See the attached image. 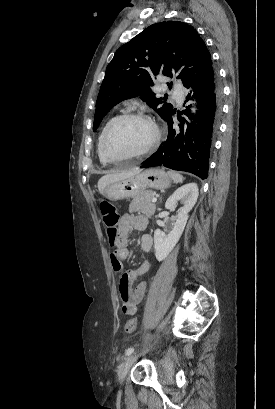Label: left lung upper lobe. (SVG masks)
Wrapping results in <instances>:
<instances>
[{
	"mask_svg": "<svg viewBox=\"0 0 275 409\" xmlns=\"http://www.w3.org/2000/svg\"><path fill=\"white\" fill-rule=\"evenodd\" d=\"M211 65L205 42L188 24L164 21L150 25L122 45L108 64L96 102L93 130L114 105L137 96L166 119L173 105L151 91L152 74L177 75L186 86Z\"/></svg>",
	"mask_w": 275,
	"mask_h": 409,
	"instance_id": "left-lung-upper-lobe-1",
	"label": "left lung upper lobe"
}]
</instances>
